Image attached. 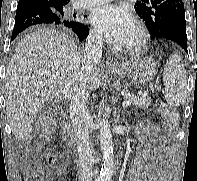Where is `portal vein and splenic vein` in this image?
Returning <instances> with one entry per match:
<instances>
[{"instance_id": "1", "label": "portal vein and splenic vein", "mask_w": 197, "mask_h": 181, "mask_svg": "<svg viewBox=\"0 0 197 181\" xmlns=\"http://www.w3.org/2000/svg\"><path fill=\"white\" fill-rule=\"evenodd\" d=\"M53 76H54V77L58 76V73L54 74ZM147 95H148V92H144L143 95L141 96V98L144 99V98H146ZM129 105H131V102H130L129 100H125V101H123V103H122V106H123V107H127V106H129Z\"/></svg>"}]
</instances>
